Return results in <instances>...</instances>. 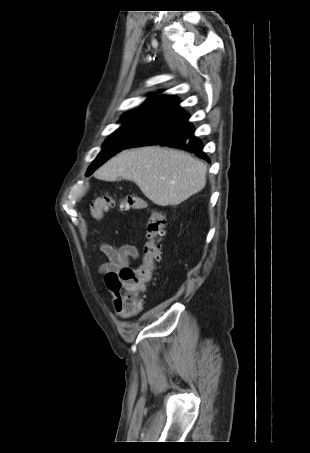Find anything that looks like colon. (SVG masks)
Returning <instances> with one entry per match:
<instances>
[{"label":"colon","instance_id":"obj_1","mask_svg":"<svg viewBox=\"0 0 310 453\" xmlns=\"http://www.w3.org/2000/svg\"><path fill=\"white\" fill-rule=\"evenodd\" d=\"M115 206L121 211L146 209L145 201L139 196L127 195L117 199L112 195H104L91 203L90 210L95 219L101 220ZM165 226V216L160 212H152L148 220L142 263L137 268H123L118 274L112 273L105 277L106 286L112 293L114 309L122 316L133 315L142 308L139 294L152 281L161 259Z\"/></svg>","mask_w":310,"mask_h":453}]
</instances>
